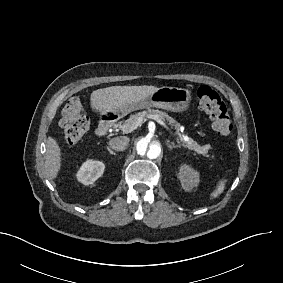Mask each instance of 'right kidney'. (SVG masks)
<instances>
[{
  "mask_svg": "<svg viewBox=\"0 0 283 283\" xmlns=\"http://www.w3.org/2000/svg\"><path fill=\"white\" fill-rule=\"evenodd\" d=\"M104 169L105 165L103 162L89 159L78 170L76 174L77 180L84 185L93 184L102 176Z\"/></svg>",
  "mask_w": 283,
  "mask_h": 283,
  "instance_id": "1",
  "label": "right kidney"
}]
</instances>
